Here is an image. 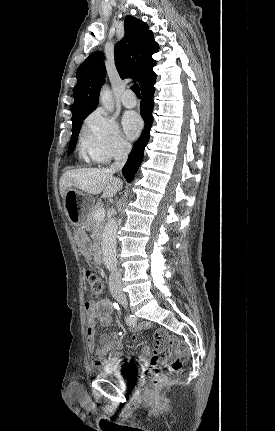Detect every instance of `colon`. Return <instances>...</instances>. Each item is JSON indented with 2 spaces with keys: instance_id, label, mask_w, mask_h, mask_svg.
Wrapping results in <instances>:
<instances>
[{
  "instance_id": "obj_1",
  "label": "colon",
  "mask_w": 275,
  "mask_h": 431,
  "mask_svg": "<svg viewBox=\"0 0 275 431\" xmlns=\"http://www.w3.org/2000/svg\"><path fill=\"white\" fill-rule=\"evenodd\" d=\"M86 282L88 285V294L91 300L98 299L105 288V284L100 275L92 270H89L85 274ZM161 339L165 342L167 341L169 344L176 345L179 350V356L175 360L170 363V369L173 371H178L184 364L186 360L189 348L188 345L182 341L174 339L172 337H162ZM132 340H135L133 336ZM145 375L151 379L150 391H156L161 389L167 382L166 376L161 373L159 364L157 362H152L148 365L145 370Z\"/></svg>"
}]
</instances>
